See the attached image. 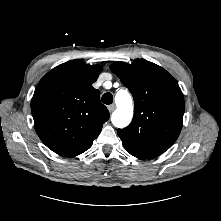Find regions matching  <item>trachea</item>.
Returning <instances> with one entry per match:
<instances>
[{"mask_svg":"<svg viewBox=\"0 0 221 221\" xmlns=\"http://www.w3.org/2000/svg\"><path fill=\"white\" fill-rule=\"evenodd\" d=\"M102 102L106 105H109L113 102V95L110 92L103 94Z\"/></svg>","mask_w":221,"mask_h":221,"instance_id":"3493384b","label":"trachea"}]
</instances>
